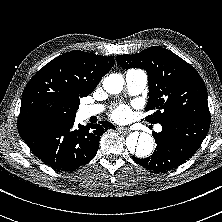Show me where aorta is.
<instances>
[{
  "label": "aorta",
  "mask_w": 222,
  "mask_h": 222,
  "mask_svg": "<svg viewBox=\"0 0 222 222\" xmlns=\"http://www.w3.org/2000/svg\"><path fill=\"white\" fill-rule=\"evenodd\" d=\"M124 86V79L119 74H110L103 81V87L109 94H119ZM126 146L132 155L138 158L148 157L154 147V140L148 133L134 132L126 139Z\"/></svg>",
  "instance_id": "1"
}]
</instances>
